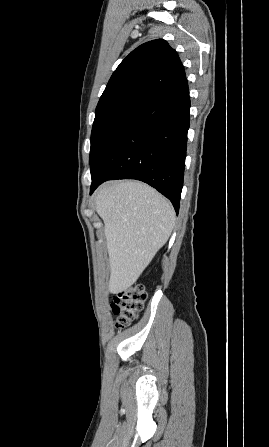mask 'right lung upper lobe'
<instances>
[{
  "label": "right lung upper lobe",
  "instance_id": "right-lung-upper-lobe-1",
  "mask_svg": "<svg viewBox=\"0 0 269 447\" xmlns=\"http://www.w3.org/2000/svg\"><path fill=\"white\" fill-rule=\"evenodd\" d=\"M185 77L179 56L165 40L144 43L117 67L95 114L99 116L120 107L142 108L164 89Z\"/></svg>",
  "mask_w": 269,
  "mask_h": 447
}]
</instances>
